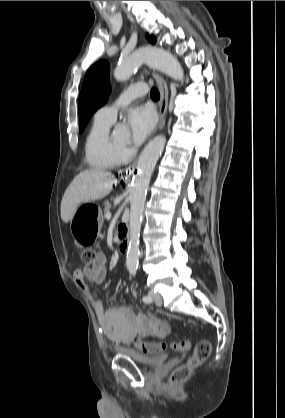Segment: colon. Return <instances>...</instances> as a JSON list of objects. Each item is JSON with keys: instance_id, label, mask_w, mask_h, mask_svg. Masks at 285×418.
I'll use <instances>...</instances> for the list:
<instances>
[{"instance_id": "colon-1", "label": "colon", "mask_w": 285, "mask_h": 418, "mask_svg": "<svg viewBox=\"0 0 285 418\" xmlns=\"http://www.w3.org/2000/svg\"><path fill=\"white\" fill-rule=\"evenodd\" d=\"M97 253L93 248H84L81 251V260L84 265H91L96 259ZM133 346L145 353H159L167 348L173 351H185L189 348L188 341L172 342L169 345L164 342H150L140 338L133 340ZM211 343L209 340H200L194 347L193 354L183 364L178 366L172 376V384H178L188 379L193 371L199 367L210 355Z\"/></svg>"}]
</instances>
